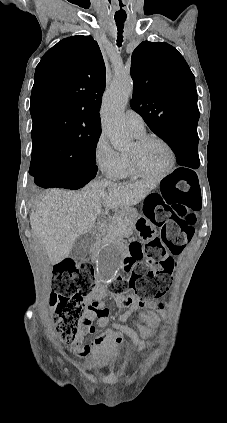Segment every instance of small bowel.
I'll use <instances>...</instances> for the list:
<instances>
[{"instance_id": "obj_1", "label": "small bowel", "mask_w": 227, "mask_h": 423, "mask_svg": "<svg viewBox=\"0 0 227 423\" xmlns=\"http://www.w3.org/2000/svg\"><path fill=\"white\" fill-rule=\"evenodd\" d=\"M106 288L103 284H98L94 290L86 296L87 309L81 321V331L73 342L74 350L81 356L88 355L91 351L103 348L111 351L118 345L124 343L122 332L126 333L131 340L136 341V334L123 323L137 310L145 307L162 310L165 309L167 302L160 300L142 301L137 295L131 293L126 296L113 295L115 301L120 307L128 308L123 314L112 322L113 329H108L97 336L91 344L82 345L85 334L95 332L94 324L100 327L108 325L111 321L110 311L105 307L103 297L106 295ZM149 321L155 324L158 321L157 316L150 315Z\"/></svg>"}]
</instances>
